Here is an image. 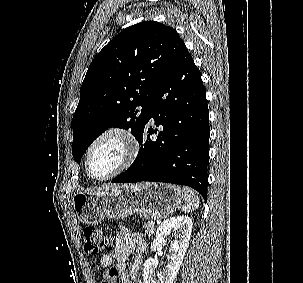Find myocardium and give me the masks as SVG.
Returning <instances> with one entry per match:
<instances>
[{"instance_id":"f54148a6","label":"myocardium","mask_w":303,"mask_h":283,"mask_svg":"<svg viewBox=\"0 0 303 283\" xmlns=\"http://www.w3.org/2000/svg\"><path fill=\"white\" fill-rule=\"evenodd\" d=\"M108 137H115L121 140L124 146V157L121 163L108 175L104 177H94L89 171V159L93 149L96 145L101 142L102 140ZM139 152V144L138 140L136 139L135 135L132 133L131 130L120 127V126H110L101 131L97 134L93 140L88 145L85 156H84V169L87 176L97 182H103L110 180L119 174L123 173L127 169H129L133 163L135 162Z\"/></svg>"}]
</instances>
